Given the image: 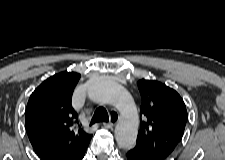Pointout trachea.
<instances>
[{"instance_id":"1","label":"trachea","mask_w":225,"mask_h":160,"mask_svg":"<svg viewBox=\"0 0 225 160\" xmlns=\"http://www.w3.org/2000/svg\"><path fill=\"white\" fill-rule=\"evenodd\" d=\"M109 117L106 109L104 107H99L96 109L92 119H91V125L97 122H108Z\"/></svg>"}]
</instances>
